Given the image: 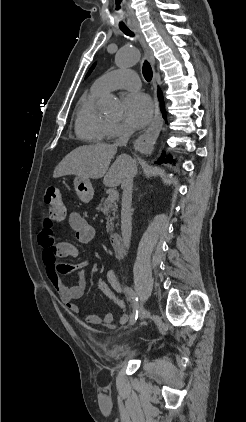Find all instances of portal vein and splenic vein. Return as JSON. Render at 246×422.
Returning a JSON list of instances; mask_svg holds the SVG:
<instances>
[{"instance_id":"1","label":"portal vein and splenic vein","mask_w":246,"mask_h":422,"mask_svg":"<svg viewBox=\"0 0 246 422\" xmlns=\"http://www.w3.org/2000/svg\"><path fill=\"white\" fill-rule=\"evenodd\" d=\"M118 196H119V194H118V192H117V191H112V192L109 194L108 199H109L110 201H115V200L118 198Z\"/></svg>"}]
</instances>
